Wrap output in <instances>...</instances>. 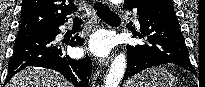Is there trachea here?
Wrapping results in <instances>:
<instances>
[{"instance_id":"3493384b","label":"trachea","mask_w":205,"mask_h":87,"mask_svg":"<svg viewBox=\"0 0 205 87\" xmlns=\"http://www.w3.org/2000/svg\"><path fill=\"white\" fill-rule=\"evenodd\" d=\"M94 8L96 9V13L97 15L104 21L106 22H120L121 19L120 17L115 14L114 12H112L107 6H105L104 4H102V2H95L94 3ZM74 22H81L82 18L75 16L73 18Z\"/></svg>"}]
</instances>
